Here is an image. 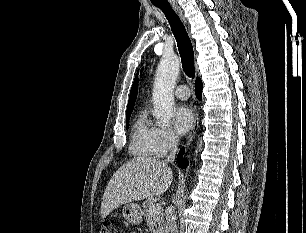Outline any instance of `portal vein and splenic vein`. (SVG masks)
<instances>
[{
  "instance_id": "portal-vein-and-splenic-vein-1",
  "label": "portal vein and splenic vein",
  "mask_w": 306,
  "mask_h": 233,
  "mask_svg": "<svg viewBox=\"0 0 306 233\" xmlns=\"http://www.w3.org/2000/svg\"><path fill=\"white\" fill-rule=\"evenodd\" d=\"M160 210H161V205H160L159 203H156V204H153V205L150 207L149 212H150L151 214H156V213H158Z\"/></svg>"
}]
</instances>
